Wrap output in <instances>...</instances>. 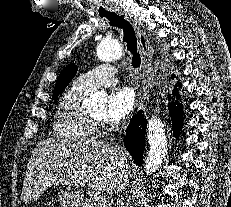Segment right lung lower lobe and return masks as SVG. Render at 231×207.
<instances>
[{
    "instance_id": "98d812e1",
    "label": "right lung lower lobe",
    "mask_w": 231,
    "mask_h": 207,
    "mask_svg": "<svg viewBox=\"0 0 231 207\" xmlns=\"http://www.w3.org/2000/svg\"><path fill=\"white\" fill-rule=\"evenodd\" d=\"M173 78V75L171 76ZM180 86V83H178ZM175 91V89H174ZM176 96V99H179V94L177 91L173 94V97ZM169 100L172 98L168 94ZM178 100H176V103ZM177 107L175 104H168L169 113L172 120L173 134L175 137H178L180 134L183 118L182 104H178ZM143 110H140L136 115L132 117L130 123L126 130V135L124 137V146L130 153L131 157L134 159L135 163L139 166L142 165V154L145 149V133H146V124L147 120L144 117Z\"/></svg>"
}]
</instances>
